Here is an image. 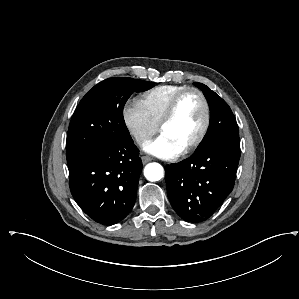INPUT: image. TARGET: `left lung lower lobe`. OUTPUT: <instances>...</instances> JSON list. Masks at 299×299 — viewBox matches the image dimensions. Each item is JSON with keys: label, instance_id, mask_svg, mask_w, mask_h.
Listing matches in <instances>:
<instances>
[{"label": "left lung lower lobe", "instance_id": "left-lung-lower-lobe-1", "mask_svg": "<svg viewBox=\"0 0 299 299\" xmlns=\"http://www.w3.org/2000/svg\"><path fill=\"white\" fill-rule=\"evenodd\" d=\"M239 159L240 149L213 145L167 165V194L176 213L189 222L207 220L232 191Z\"/></svg>", "mask_w": 299, "mask_h": 299}]
</instances>
